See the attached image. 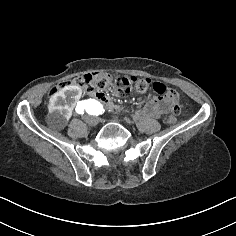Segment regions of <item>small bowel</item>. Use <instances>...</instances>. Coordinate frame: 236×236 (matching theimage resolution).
I'll return each instance as SVG.
<instances>
[{
  "label": "small bowel",
  "instance_id": "small-bowel-1",
  "mask_svg": "<svg viewBox=\"0 0 236 236\" xmlns=\"http://www.w3.org/2000/svg\"><path fill=\"white\" fill-rule=\"evenodd\" d=\"M169 110L170 104L168 101L161 98H154L142 108L141 113L148 117L157 118Z\"/></svg>",
  "mask_w": 236,
  "mask_h": 236
}]
</instances>
